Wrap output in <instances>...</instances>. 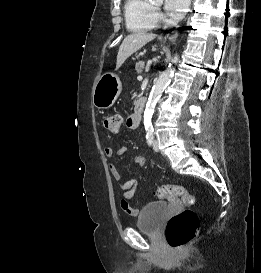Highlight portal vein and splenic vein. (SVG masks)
I'll return each instance as SVG.
<instances>
[{
	"mask_svg": "<svg viewBox=\"0 0 261 273\" xmlns=\"http://www.w3.org/2000/svg\"><path fill=\"white\" fill-rule=\"evenodd\" d=\"M138 80H142L143 79V77L142 76H138V78H137Z\"/></svg>",
	"mask_w": 261,
	"mask_h": 273,
	"instance_id": "portal-vein-and-splenic-vein-1",
	"label": "portal vein and splenic vein"
}]
</instances>
